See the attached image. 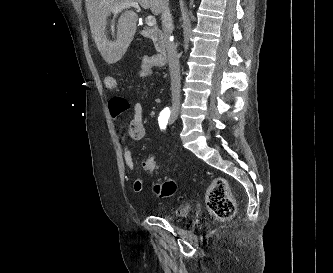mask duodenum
<instances>
[{"instance_id": "duodenum-1", "label": "duodenum", "mask_w": 333, "mask_h": 273, "mask_svg": "<svg viewBox=\"0 0 333 273\" xmlns=\"http://www.w3.org/2000/svg\"><path fill=\"white\" fill-rule=\"evenodd\" d=\"M142 35L152 40L155 44L156 50L162 62H166L168 58V50L170 48V42L165 36L163 30L147 29L142 32Z\"/></svg>"}]
</instances>
